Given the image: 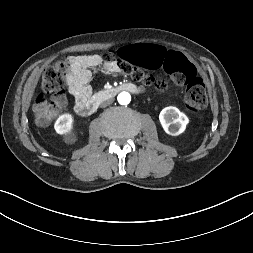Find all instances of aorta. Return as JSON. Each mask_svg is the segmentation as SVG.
Listing matches in <instances>:
<instances>
[{
	"mask_svg": "<svg viewBox=\"0 0 253 253\" xmlns=\"http://www.w3.org/2000/svg\"><path fill=\"white\" fill-rule=\"evenodd\" d=\"M118 102L121 105H127L131 101V95L128 92H121L118 97Z\"/></svg>",
	"mask_w": 253,
	"mask_h": 253,
	"instance_id": "obj_1",
	"label": "aorta"
}]
</instances>
